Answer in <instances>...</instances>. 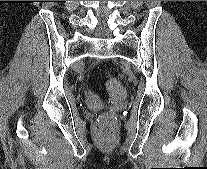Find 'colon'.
<instances>
[{
    "mask_svg": "<svg viewBox=\"0 0 207 169\" xmlns=\"http://www.w3.org/2000/svg\"><path fill=\"white\" fill-rule=\"evenodd\" d=\"M106 90L112 103L124 100L126 91L122 83L113 75H108L105 82ZM96 137L103 143L114 140L116 135V124L112 114H106L95 126Z\"/></svg>",
    "mask_w": 207,
    "mask_h": 169,
    "instance_id": "5ec220e1",
    "label": "colon"
}]
</instances>
